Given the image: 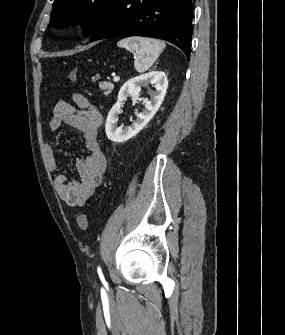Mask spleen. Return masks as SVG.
I'll return each instance as SVG.
<instances>
[{"instance_id":"1","label":"spleen","mask_w":285,"mask_h":335,"mask_svg":"<svg viewBox=\"0 0 285 335\" xmlns=\"http://www.w3.org/2000/svg\"><path fill=\"white\" fill-rule=\"evenodd\" d=\"M118 48H126L128 52L136 54L134 60L135 70L143 74L149 70L159 58L162 50L165 48L163 42L154 40V38H140V36H132V38H124L117 44Z\"/></svg>"}]
</instances>
